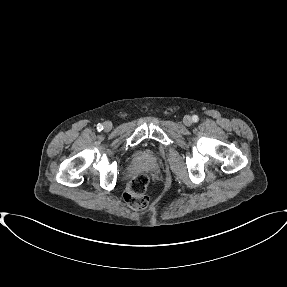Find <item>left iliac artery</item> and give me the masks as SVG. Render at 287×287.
<instances>
[{
    "mask_svg": "<svg viewBox=\"0 0 287 287\" xmlns=\"http://www.w3.org/2000/svg\"><path fill=\"white\" fill-rule=\"evenodd\" d=\"M192 120H193L194 122H197V121L199 120V118H198L197 115H193V116H192Z\"/></svg>",
    "mask_w": 287,
    "mask_h": 287,
    "instance_id": "1",
    "label": "left iliac artery"
}]
</instances>
